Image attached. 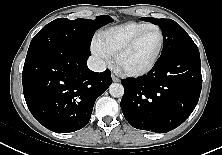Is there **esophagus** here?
<instances>
[{"mask_svg": "<svg viewBox=\"0 0 222 155\" xmlns=\"http://www.w3.org/2000/svg\"><path fill=\"white\" fill-rule=\"evenodd\" d=\"M111 78H112L113 82H119V78L116 77L114 74L111 75Z\"/></svg>", "mask_w": 222, "mask_h": 155, "instance_id": "obj_1", "label": "esophagus"}]
</instances>
